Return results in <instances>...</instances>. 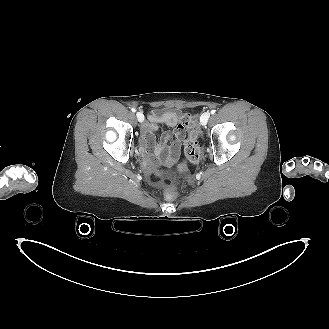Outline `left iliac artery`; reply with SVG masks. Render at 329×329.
I'll return each mask as SVG.
<instances>
[{
    "label": "left iliac artery",
    "mask_w": 329,
    "mask_h": 329,
    "mask_svg": "<svg viewBox=\"0 0 329 329\" xmlns=\"http://www.w3.org/2000/svg\"><path fill=\"white\" fill-rule=\"evenodd\" d=\"M216 110H211V114H215Z\"/></svg>",
    "instance_id": "obj_1"
}]
</instances>
